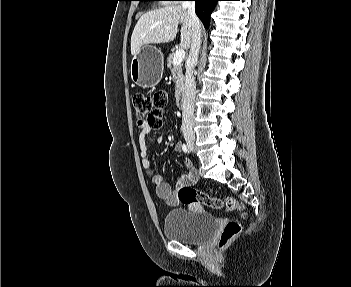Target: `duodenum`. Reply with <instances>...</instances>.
I'll return each mask as SVG.
<instances>
[{"instance_id": "duodenum-1", "label": "duodenum", "mask_w": 351, "mask_h": 287, "mask_svg": "<svg viewBox=\"0 0 351 287\" xmlns=\"http://www.w3.org/2000/svg\"><path fill=\"white\" fill-rule=\"evenodd\" d=\"M176 105L179 107V108H182L185 106V101H184V96H183V93L181 91L177 92L176 93Z\"/></svg>"}]
</instances>
